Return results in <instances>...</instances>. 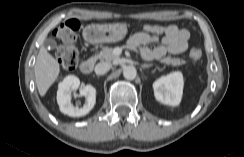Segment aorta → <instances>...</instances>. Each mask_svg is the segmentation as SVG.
Returning <instances> with one entry per match:
<instances>
[{
    "mask_svg": "<svg viewBox=\"0 0 244 157\" xmlns=\"http://www.w3.org/2000/svg\"><path fill=\"white\" fill-rule=\"evenodd\" d=\"M137 70L134 66H126L123 70V76L127 80H133L136 78Z\"/></svg>",
    "mask_w": 244,
    "mask_h": 157,
    "instance_id": "1",
    "label": "aorta"
}]
</instances>
